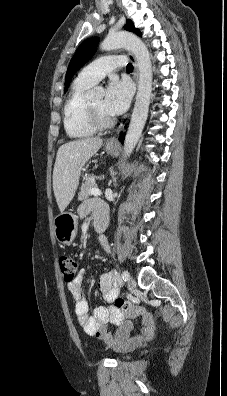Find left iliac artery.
Wrapping results in <instances>:
<instances>
[{
    "label": "left iliac artery",
    "mask_w": 227,
    "mask_h": 396,
    "mask_svg": "<svg viewBox=\"0 0 227 396\" xmlns=\"http://www.w3.org/2000/svg\"><path fill=\"white\" fill-rule=\"evenodd\" d=\"M129 272L128 271H123L122 272V278H123V280L124 281H127L128 280V278H129Z\"/></svg>",
    "instance_id": "left-iliac-artery-1"
}]
</instances>
